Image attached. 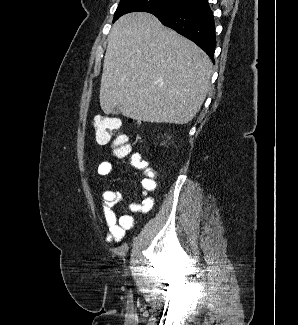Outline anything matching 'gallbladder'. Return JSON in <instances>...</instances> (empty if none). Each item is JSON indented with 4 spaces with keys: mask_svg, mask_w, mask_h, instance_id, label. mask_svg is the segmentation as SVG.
Here are the masks:
<instances>
[{
    "mask_svg": "<svg viewBox=\"0 0 298 325\" xmlns=\"http://www.w3.org/2000/svg\"><path fill=\"white\" fill-rule=\"evenodd\" d=\"M121 110L119 108V106H114L113 110H112V114H120Z\"/></svg>",
    "mask_w": 298,
    "mask_h": 325,
    "instance_id": "1",
    "label": "gallbladder"
}]
</instances>
